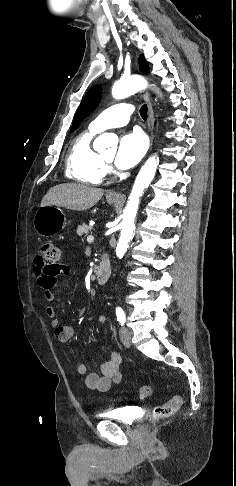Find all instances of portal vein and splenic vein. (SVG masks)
I'll return each instance as SVG.
<instances>
[{
    "label": "portal vein and splenic vein",
    "mask_w": 236,
    "mask_h": 486,
    "mask_svg": "<svg viewBox=\"0 0 236 486\" xmlns=\"http://www.w3.org/2000/svg\"><path fill=\"white\" fill-rule=\"evenodd\" d=\"M94 241V237L92 235H89L87 237V242H93Z\"/></svg>",
    "instance_id": "18ae733b"
}]
</instances>
